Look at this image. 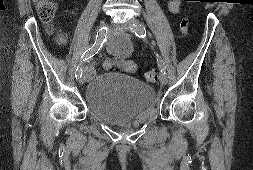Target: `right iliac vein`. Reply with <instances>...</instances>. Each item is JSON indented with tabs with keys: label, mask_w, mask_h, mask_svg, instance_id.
Masks as SVG:
<instances>
[{
	"label": "right iliac vein",
	"mask_w": 253,
	"mask_h": 170,
	"mask_svg": "<svg viewBox=\"0 0 253 170\" xmlns=\"http://www.w3.org/2000/svg\"><path fill=\"white\" fill-rule=\"evenodd\" d=\"M105 25V21H102L100 23V26H104ZM91 71L88 69V67L84 68V72H83V76L82 78L79 80L80 84H84L86 81H89L91 78Z\"/></svg>",
	"instance_id": "right-iliac-vein-1"
}]
</instances>
